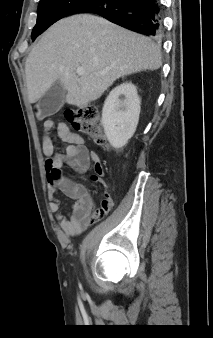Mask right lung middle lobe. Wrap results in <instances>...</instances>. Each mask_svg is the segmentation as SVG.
I'll use <instances>...</instances> for the list:
<instances>
[{"mask_svg": "<svg viewBox=\"0 0 213 338\" xmlns=\"http://www.w3.org/2000/svg\"><path fill=\"white\" fill-rule=\"evenodd\" d=\"M92 0H40L38 16L32 30V40L56 21L73 14L74 11Z\"/></svg>", "mask_w": 213, "mask_h": 338, "instance_id": "obj_1", "label": "right lung middle lobe"}]
</instances>
